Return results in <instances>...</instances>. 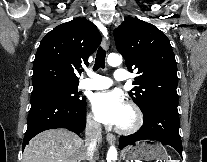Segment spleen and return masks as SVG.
Masks as SVG:
<instances>
[{
  "mask_svg": "<svg viewBox=\"0 0 207 162\" xmlns=\"http://www.w3.org/2000/svg\"><path fill=\"white\" fill-rule=\"evenodd\" d=\"M167 162H179L178 160H168Z\"/></svg>",
  "mask_w": 207,
  "mask_h": 162,
  "instance_id": "obj_1",
  "label": "spleen"
}]
</instances>
